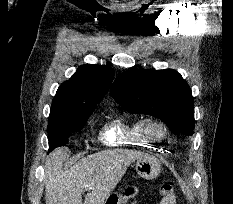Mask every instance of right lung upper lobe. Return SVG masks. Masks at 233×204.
Listing matches in <instances>:
<instances>
[{
    "mask_svg": "<svg viewBox=\"0 0 233 204\" xmlns=\"http://www.w3.org/2000/svg\"><path fill=\"white\" fill-rule=\"evenodd\" d=\"M114 70L107 65L85 64L60 85L53 99L48 124L94 111L108 91Z\"/></svg>",
    "mask_w": 233,
    "mask_h": 204,
    "instance_id": "cb5924a9",
    "label": "right lung upper lobe"
}]
</instances>
